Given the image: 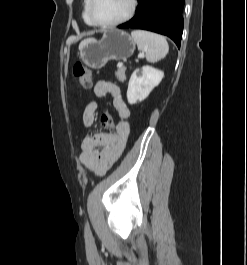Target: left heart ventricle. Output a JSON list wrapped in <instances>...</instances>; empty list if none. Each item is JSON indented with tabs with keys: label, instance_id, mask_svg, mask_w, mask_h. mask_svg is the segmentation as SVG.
Returning <instances> with one entry per match:
<instances>
[{
	"label": "left heart ventricle",
	"instance_id": "b2bd125f",
	"mask_svg": "<svg viewBox=\"0 0 247 265\" xmlns=\"http://www.w3.org/2000/svg\"><path fill=\"white\" fill-rule=\"evenodd\" d=\"M130 0H95L93 15L98 22L110 23L127 14Z\"/></svg>",
	"mask_w": 247,
	"mask_h": 265
}]
</instances>
